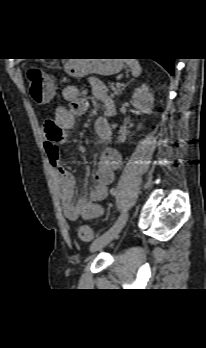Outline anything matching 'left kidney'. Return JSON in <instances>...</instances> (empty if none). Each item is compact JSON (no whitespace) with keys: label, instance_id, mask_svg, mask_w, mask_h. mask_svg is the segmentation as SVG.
Here are the masks:
<instances>
[{"label":"left kidney","instance_id":"left-kidney-1","mask_svg":"<svg viewBox=\"0 0 206 348\" xmlns=\"http://www.w3.org/2000/svg\"><path fill=\"white\" fill-rule=\"evenodd\" d=\"M131 104L141 113H150L154 104V96L150 92V88L148 85L143 84L141 87L135 90L133 93ZM141 128V124L138 125L137 129ZM130 132L127 130L126 126H121L119 130L118 140L120 142H124L126 140L127 135Z\"/></svg>","mask_w":206,"mask_h":348}]
</instances>
